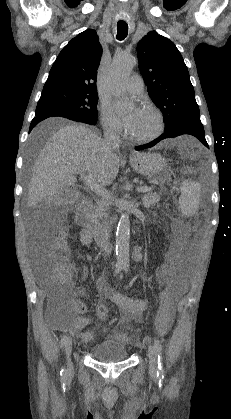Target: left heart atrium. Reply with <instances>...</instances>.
Masks as SVG:
<instances>
[{
    "instance_id": "obj_1",
    "label": "left heart atrium",
    "mask_w": 231,
    "mask_h": 419,
    "mask_svg": "<svg viewBox=\"0 0 231 419\" xmlns=\"http://www.w3.org/2000/svg\"><path fill=\"white\" fill-rule=\"evenodd\" d=\"M141 114L140 109H135L122 119L123 126L131 132L136 125V122Z\"/></svg>"
}]
</instances>
